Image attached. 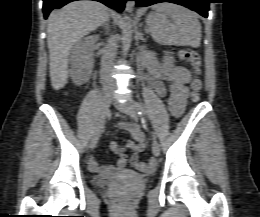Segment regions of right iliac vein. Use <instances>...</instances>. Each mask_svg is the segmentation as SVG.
<instances>
[{"instance_id":"63e3f726","label":"right iliac vein","mask_w":260,"mask_h":217,"mask_svg":"<svg viewBox=\"0 0 260 217\" xmlns=\"http://www.w3.org/2000/svg\"><path fill=\"white\" fill-rule=\"evenodd\" d=\"M111 102H112V96L110 94H105L102 98L101 116H100L97 128H96V130H95V132H94V134L91 138V141H90V148L91 149L95 148V146H96V144L99 140L102 128H103L104 123H105V119L108 116V112H109Z\"/></svg>"}]
</instances>
